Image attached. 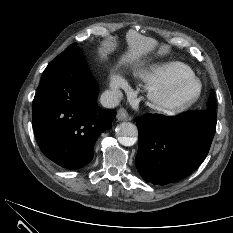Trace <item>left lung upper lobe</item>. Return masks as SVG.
Masks as SVG:
<instances>
[{
  "mask_svg": "<svg viewBox=\"0 0 233 233\" xmlns=\"http://www.w3.org/2000/svg\"><path fill=\"white\" fill-rule=\"evenodd\" d=\"M206 111L211 112V113H216V100H215V95H214L213 90L211 91L210 100L208 102Z\"/></svg>",
  "mask_w": 233,
  "mask_h": 233,
  "instance_id": "1",
  "label": "left lung upper lobe"
}]
</instances>
